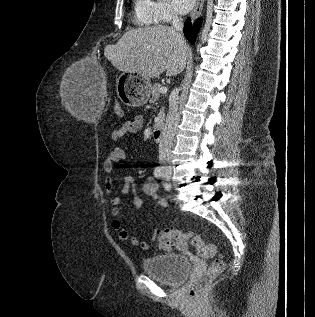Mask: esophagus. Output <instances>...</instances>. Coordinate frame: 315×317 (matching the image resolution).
Wrapping results in <instances>:
<instances>
[{"mask_svg": "<svg viewBox=\"0 0 315 317\" xmlns=\"http://www.w3.org/2000/svg\"><path fill=\"white\" fill-rule=\"evenodd\" d=\"M203 5H204V0H197L195 8L190 15L192 20L196 19L200 15L203 9Z\"/></svg>", "mask_w": 315, "mask_h": 317, "instance_id": "esophagus-1", "label": "esophagus"}]
</instances>
